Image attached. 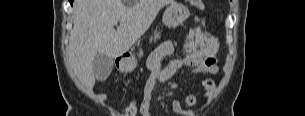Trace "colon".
<instances>
[{"label": "colon", "mask_w": 305, "mask_h": 116, "mask_svg": "<svg viewBox=\"0 0 305 116\" xmlns=\"http://www.w3.org/2000/svg\"><path fill=\"white\" fill-rule=\"evenodd\" d=\"M140 115V101L131 100L120 112L119 116H138Z\"/></svg>", "instance_id": "5ec220e1"}]
</instances>
